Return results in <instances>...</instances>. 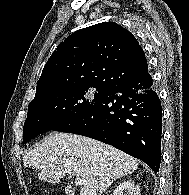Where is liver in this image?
Masks as SVG:
<instances>
[{"label":"liver","instance_id":"1","mask_svg":"<svg viewBox=\"0 0 189 195\" xmlns=\"http://www.w3.org/2000/svg\"><path fill=\"white\" fill-rule=\"evenodd\" d=\"M38 178L58 183L65 174L86 180L80 195H101L116 179L138 168V160L95 139L53 132L23 157Z\"/></svg>","mask_w":189,"mask_h":195}]
</instances>
